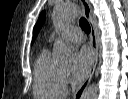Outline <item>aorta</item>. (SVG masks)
<instances>
[{
	"label": "aorta",
	"instance_id": "1",
	"mask_svg": "<svg viewBox=\"0 0 128 99\" xmlns=\"http://www.w3.org/2000/svg\"><path fill=\"white\" fill-rule=\"evenodd\" d=\"M77 9L73 4L60 5L54 8L52 19L56 26L62 27L75 19ZM53 59L57 65H70L73 52L64 44H57L53 50ZM98 85H90L82 94V99H97Z\"/></svg>",
	"mask_w": 128,
	"mask_h": 99
}]
</instances>
